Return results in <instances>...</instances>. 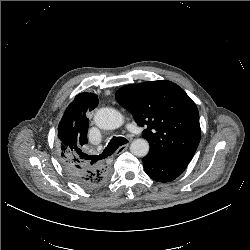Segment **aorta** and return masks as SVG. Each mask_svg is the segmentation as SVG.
<instances>
[{
  "instance_id": "762f6f07",
  "label": "aorta",
  "mask_w": 250,
  "mask_h": 250,
  "mask_svg": "<svg viewBox=\"0 0 250 250\" xmlns=\"http://www.w3.org/2000/svg\"><path fill=\"white\" fill-rule=\"evenodd\" d=\"M96 126L104 130H114L124 123L123 115L112 108H100L94 116ZM149 143L143 138L135 139L130 145V151L133 155L144 157L149 152Z\"/></svg>"
}]
</instances>
